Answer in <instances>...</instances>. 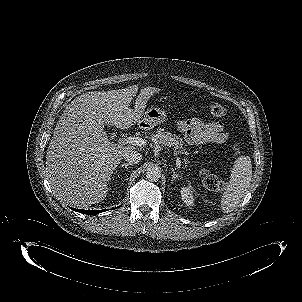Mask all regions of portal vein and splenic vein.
<instances>
[{
    "instance_id": "portal-vein-and-splenic-vein-1",
    "label": "portal vein and splenic vein",
    "mask_w": 302,
    "mask_h": 302,
    "mask_svg": "<svg viewBox=\"0 0 302 302\" xmlns=\"http://www.w3.org/2000/svg\"><path fill=\"white\" fill-rule=\"evenodd\" d=\"M125 143H129L134 146H143L145 145V140L141 137L129 136L124 138ZM177 165H180V161L177 159Z\"/></svg>"
}]
</instances>
